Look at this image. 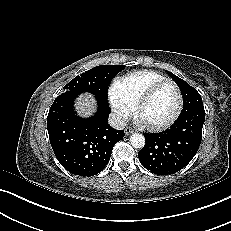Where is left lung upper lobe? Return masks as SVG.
<instances>
[{
    "mask_svg": "<svg viewBox=\"0 0 231 231\" xmlns=\"http://www.w3.org/2000/svg\"><path fill=\"white\" fill-rule=\"evenodd\" d=\"M168 75L176 82L179 86L182 95H183V109L181 111L180 116L175 121L170 129H168V133H173L176 130L180 129L179 122L182 115L187 113L188 111L195 109V108H204L201 95L198 91L190 86L186 81L182 80L181 78L174 75L172 72H168Z\"/></svg>",
    "mask_w": 231,
    "mask_h": 231,
    "instance_id": "obj_1",
    "label": "left lung upper lobe"
}]
</instances>
